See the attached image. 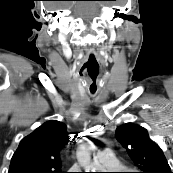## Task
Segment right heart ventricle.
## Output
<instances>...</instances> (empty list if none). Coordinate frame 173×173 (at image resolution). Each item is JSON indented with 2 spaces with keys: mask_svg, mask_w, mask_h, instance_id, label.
<instances>
[{
  "mask_svg": "<svg viewBox=\"0 0 173 173\" xmlns=\"http://www.w3.org/2000/svg\"><path fill=\"white\" fill-rule=\"evenodd\" d=\"M116 160V159H115ZM114 169L120 170L123 168L122 164L118 161L115 162Z\"/></svg>",
  "mask_w": 173,
  "mask_h": 173,
  "instance_id": "e07e8e85",
  "label": "right heart ventricle"
}]
</instances>
